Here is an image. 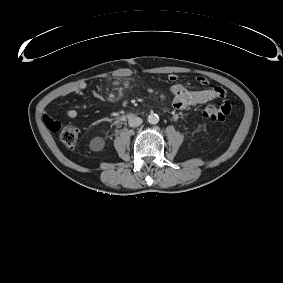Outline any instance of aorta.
<instances>
[{
  "instance_id": "obj_1",
  "label": "aorta",
  "mask_w": 283,
  "mask_h": 283,
  "mask_svg": "<svg viewBox=\"0 0 283 283\" xmlns=\"http://www.w3.org/2000/svg\"><path fill=\"white\" fill-rule=\"evenodd\" d=\"M148 122L153 125L157 124L159 122V116L155 113H151L148 116Z\"/></svg>"
}]
</instances>
